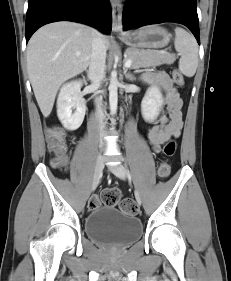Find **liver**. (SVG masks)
<instances>
[{
	"label": "liver",
	"mask_w": 231,
	"mask_h": 281,
	"mask_svg": "<svg viewBox=\"0 0 231 281\" xmlns=\"http://www.w3.org/2000/svg\"><path fill=\"white\" fill-rule=\"evenodd\" d=\"M93 29L74 22L41 27L27 47V70L44 117L52 111L60 86L87 69L91 60ZM106 49L109 37L103 36Z\"/></svg>",
	"instance_id": "6515ba94"
}]
</instances>
